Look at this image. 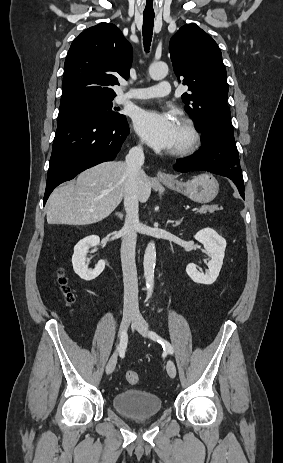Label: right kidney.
<instances>
[{
  "instance_id": "ca27d5eb",
  "label": "right kidney",
  "mask_w": 283,
  "mask_h": 463,
  "mask_svg": "<svg viewBox=\"0 0 283 463\" xmlns=\"http://www.w3.org/2000/svg\"><path fill=\"white\" fill-rule=\"evenodd\" d=\"M100 238L96 235L87 236L80 240L74 247L72 264L75 273L83 280L90 281L98 277L105 268V261L100 260L93 270L88 269L86 255L90 247L98 245Z\"/></svg>"
}]
</instances>
